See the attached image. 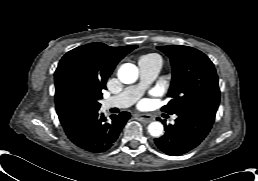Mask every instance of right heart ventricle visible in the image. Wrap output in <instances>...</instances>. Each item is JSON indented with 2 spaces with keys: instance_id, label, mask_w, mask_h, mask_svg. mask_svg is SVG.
Returning <instances> with one entry per match:
<instances>
[{
  "instance_id": "e07e8e85",
  "label": "right heart ventricle",
  "mask_w": 258,
  "mask_h": 181,
  "mask_svg": "<svg viewBox=\"0 0 258 181\" xmlns=\"http://www.w3.org/2000/svg\"><path fill=\"white\" fill-rule=\"evenodd\" d=\"M159 58L156 54H146L140 57L139 62L150 61Z\"/></svg>"
}]
</instances>
